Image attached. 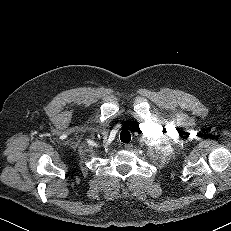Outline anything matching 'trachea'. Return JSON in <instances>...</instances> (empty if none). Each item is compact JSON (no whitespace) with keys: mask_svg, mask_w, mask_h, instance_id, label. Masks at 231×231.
Listing matches in <instances>:
<instances>
[{"mask_svg":"<svg viewBox=\"0 0 231 231\" xmlns=\"http://www.w3.org/2000/svg\"><path fill=\"white\" fill-rule=\"evenodd\" d=\"M120 140L124 143H129L131 140V134L127 129H123L120 133Z\"/></svg>","mask_w":231,"mask_h":231,"instance_id":"trachea-1","label":"trachea"}]
</instances>
